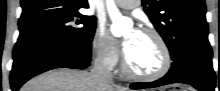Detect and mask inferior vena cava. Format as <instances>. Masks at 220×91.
I'll return each instance as SVG.
<instances>
[{
	"mask_svg": "<svg viewBox=\"0 0 220 91\" xmlns=\"http://www.w3.org/2000/svg\"><path fill=\"white\" fill-rule=\"evenodd\" d=\"M91 77L98 83L100 86L103 84L112 83V72L111 68L105 64L100 58H97L94 61V66L91 70Z\"/></svg>",
	"mask_w": 220,
	"mask_h": 91,
	"instance_id": "inferior-vena-cava-1",
	"label": "inferior vena cava"
}]
</instances>
